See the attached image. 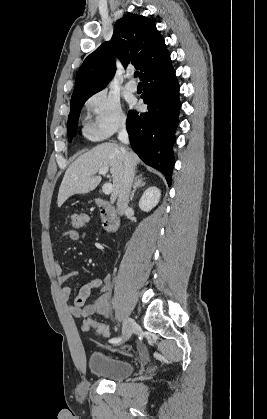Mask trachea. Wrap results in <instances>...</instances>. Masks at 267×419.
<instances>
[{"instance_id":"1","label":"trachea","mask_w":267,"mask_h":419,"mask_svg":"<svg viewBox=\"0 0 267 419\" xmlns=\"http://www.w3.org/2000/svg\"><path fill=\"white\" fill-rule=\"evenodd\" d=\"M138 71L134 72V76L137 77L138 76Z\"/></svg>"}]
</instances>
